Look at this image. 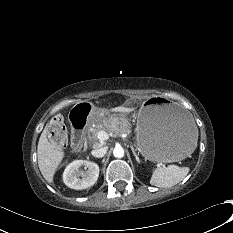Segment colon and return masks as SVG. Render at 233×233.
<instances>
[{
	"label": "colon",
	"mask_w": 233,
	"mask_h": 233,
	"mask_svg": "<svg viewBox=\"0 0 233 233\" xmlns=\"http://www.w3.org/2000/svg\"><path fill=\"white\" fill-rule=\"evenodd\" d=\"M51 138L59 143L66 140V130L64 124L59 119H54L49 126Z\"/></svg>",
	"instance_id": "obj_1"
}]
</instances>
